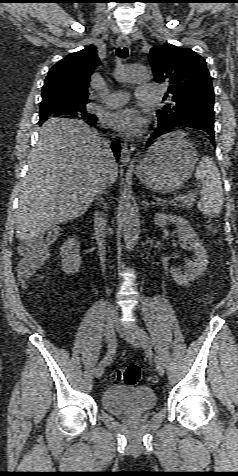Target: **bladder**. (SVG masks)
I'll return each mask as SVG.
<instances>
[{"label": "bladder", "mask_w": 238, "mask_h": 476, "mask_svg": "<svg viewBox=\"0 0 238 476\" xmlns=\"http://www.w3.org/2000/svg\"><path fill=\"white\" fill-rule=\"evenodd\" d=\"M154 391L144 385H114L101 396L103 409L114 415L141 414L156 406Z\"/></svg>", "instance_id": "bladder-1"}]
</instances>
